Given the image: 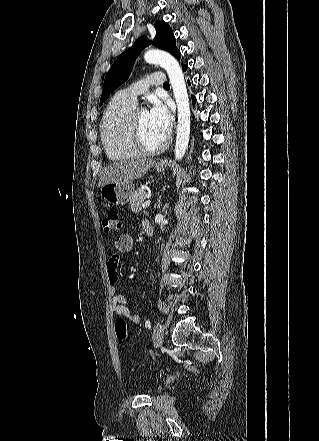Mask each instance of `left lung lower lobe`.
<instances>
[{
  "label": "left lung lower lobe",
  "mask_w": 319,
  "mask_h": 441,
  "mask_svg": "<svg viewBox=\"0 0 319 441\" xmlns=\"http://www.w3.org/2000/svg\"><path fill=\"white\" fill-rule=\"evenodd\" d=\"M182 69H183V71H186V69H187V65L182 64ZM188 84L190 85L189 82H188ZM192 102H193V104L196 102V99H195L194 96H192Z\"/></svg>",
  "instance_id": "0a47b994"
}]
</instances>
